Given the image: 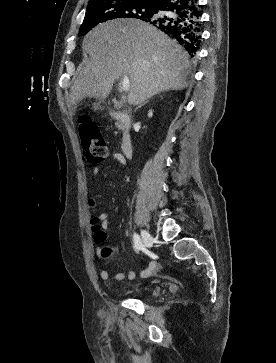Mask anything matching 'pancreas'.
Wrapping results in <instances>:
<instances>
[{
    "mask_svg": "<svg viewBox=\"0 0 276 363\" xmlns=\"http://www.w3.org/2000/svg\"><path fill=\"white\" fill-rule=\"evenodd\" d=\"M116 127H118L119 129H121V125L119 123L116 124Z\"/></svg>",
    "mask_w": 276,
    "mask_h": 363,
    "instance_id": "pancreas-1",
    "label": "pancreas"
}]
</instances>
